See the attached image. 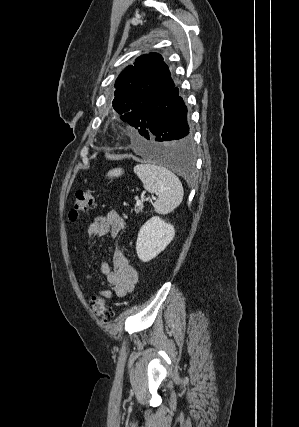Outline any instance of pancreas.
<instances>
[{
    "label": "pancreas",
    "mask_w": 299,
    "mask_h": 427,
    "mask_svg": "<svg viewBox=\"0 0 299 427\" xmlns=\"http://www.w3.org/2000/svg\"><path fill=\"white\" fill-rule=\"evenodd\" d=\"M143 207H144L143 203L139 201V202L137 203V205H135V212H136V213H139L140 211L142 212Z\"/></svg>",
    "instance_id": "cf45deb5"
}]
</instances>
